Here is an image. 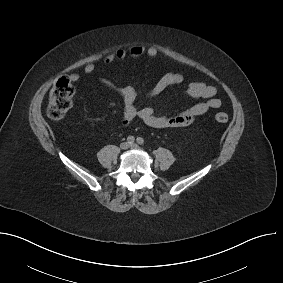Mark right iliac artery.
<instances>
[{
	"mask_svg": "<svg viewBox=\"0 0 283 283\" xmlns=\"http://www.w3.org/2000/svg\"><path fill=\"white\" fill-rule=\"evenodd\" d=\"M134 137L133 136H129L128 138H127V142L129 143V144H132V143H134Z\"/></svg>",
	"mask_w": 283,
	"mask_h": 283,
	"instance_id": "82829eb1",
	"label": "right iliac artery"
}]
</instances>
